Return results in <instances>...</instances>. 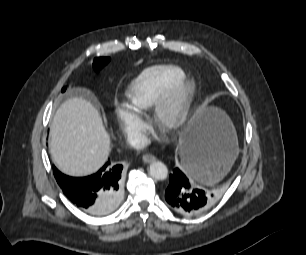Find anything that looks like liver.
I'll list each match as a JSON object with an SVG mask.
<instances>
[{"mask_svg":"<svg viewBox=\"0 0 306 255\" xmlns=\"http://www.w3.org/2000/svg\"><path fill=\"white\" fill-rule=\"evenodd\" d=\"M50 153L56 167L70 176L96 172L110 153V135L98 110L80 97L66 100L56 111L50 130Z\"/></svg>","mask_w":306,"mask_h":255,"instance_id":"liver-1","label":"liver"}]
</instances>
